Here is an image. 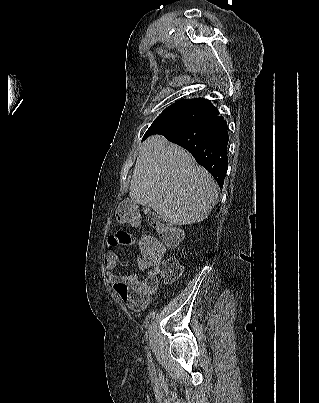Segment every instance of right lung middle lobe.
Masks as SVG:
<instances>
[{"label": "right lung middle lobe", "instance_id": "dd1d6c3e", "mask_svg": "<svg viewBox=\"0 0 319 403\" xmlns=\"http://www.w3.org/2000/svg\"><path fill=\"white\" fill-rule=\"evenodd\" d=\"M211 114H213L212 110L202 105L190 102H177L165 109L158 116L143 136V140L162 129L187 125Z\"/></svg>", "mask_w": 319, "mask_h": 403}]
</instances>
